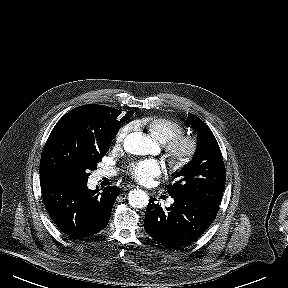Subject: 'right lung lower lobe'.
I'll list each match as a JSON object with an SVG mask.
<instances>
[{"mask_svg": "<svg viewBox=\"0 0 288 288\" xmlns=\"http://www.w3.org/2000/svg\"><path fill=\"white\" fill-rule=\"evenodd\" d=\"M89 190L87 182L42 187L45 207L57 227L71 238L91 236L104 229L119 195L116 186L102 193Z\"/></svg>", "mask_w": 288, "mask_h": 288, "instance_id": "obj_1", "label": "right lung lower lobe"}]
</instances>
